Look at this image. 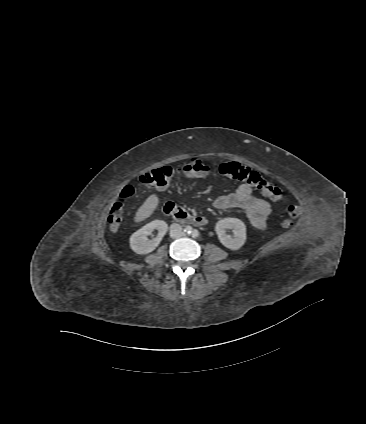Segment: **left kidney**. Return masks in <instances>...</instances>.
Masks as SVG:
<instances>
[{"label":"left kidney","instance_id":"obj_1","mask_svg":"<svg viewBox=\"0 0 366 424\" xmlns=\"http://www.w3.org/2000/svg\"><path fill=\"white\" fill-rule=\"evenodd\" d=\"M226 229H232L233 236L227 235ZM215 231L219 241L231 250H238L246 241V226L237 218H224L218 221Z\"/></svg>","mask_w":366,"mask_h":424}]
</instances>
